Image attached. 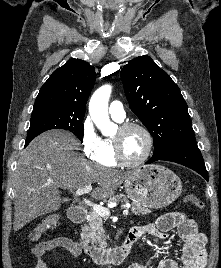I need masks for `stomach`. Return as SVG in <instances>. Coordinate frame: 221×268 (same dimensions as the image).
Returning a JSON list of instances; mask_svg holds the SVG:
<instances>
[{"instance_id": "stomach-1", "label": "stomach", "mask_w": 221, "mask_h": 268, "mask_svg": "<svg viewBox=\"0 0 221 268\" xmlns=\"http://www.w3.org/2000/svg\"><path fill=\"white\" fill-rule=\"evenodd\" d=\"M127 196L145 207L160 209L173 203L182 192L180 178L161 165H145L125 181Z\"/></svg>"}]
</instances>
